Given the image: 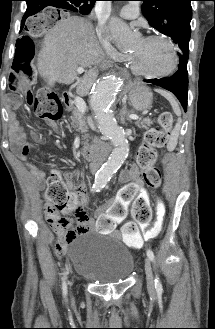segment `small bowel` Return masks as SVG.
<instances>
[{
    "instance_id": "c3829d8e",
    "label": "small bowel",
    "mask_w": 215,
    "mask_h": 329,
    "mask_svg": "<svg viewBox=\"0 0 215 329\" xmlns=\"http://www.w3.org/2000/svg\"><path fill=\"white\" fill-rule=\"evenodd\" d=\"M52 127L55 128V125L52 124ZM9 134L12 138L14 151L20 159L26 160L34 145L27 140L25 130L17 121L11 120L9 123ZM30 172L38 180H43L45 178L44 172L37 167L31 166ZM74 175L73 172L64 175L70 188H74L72 181ZM119 181L125 185V187H119V192H115V196L96 211L98 219H107L97 220L98 236H109L110 232L116 231V227H123L124 222L122 219H124L125 215H127V218H152V206H149V201H147V199L150 198V187H144L139 177L138 169L136 167H131L123 170L119 175ZM44 211L45 217L50 225L58 222L62 218L59 213H55L51 209L48 203L45 204ZM74 223L75 227L68 233L67 241L61 244L58 243L57 240L55 252L58 255H64L68 244L80 233L92 231L95 228L94 220L85 212L75 218ZM124 241L135 249L141 248L145 242V240L140 237L134 240L124 238Z\"/></svg>"
}]
</instances>
